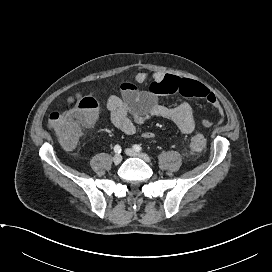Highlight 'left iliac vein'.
I'll use <instances>...</instances> for the list:
<instances>
[{"mask_svg":"<svg viewBox=\"0 0 272 272\" xmlns=\"http://www.w3.org/2000/svg\"><path fill=\"white\" fill-rule=\"evenodd\" d=\"M125 152L128 156L140 158V159L144 160L145 162L151 161L149 156H147L146 154L139 153L133 149H126Z\"/></svg>","mask_w":272,"mask_h":272,"instance_id":"1","label":"left iliac vein"}]
</instances>
